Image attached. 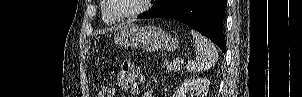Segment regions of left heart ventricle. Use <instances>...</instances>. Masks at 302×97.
<instances>
[{
	"label": "left heart ventricle",
	"mask_w": 302,
	"mask_h": 97,
	"mask_svg": "<svg viewBox=\"0 0 302 97\" xmlns=\"http://www.w3.org/2000/svg\"><path fill=\"white\" fill-rule=\"evenodd\" d=\"M141 0H110L112 11L117 15H125L136 10Z\"/></svg>",
	"instance_id": "b2bd125f"
}]
</instances>
